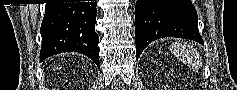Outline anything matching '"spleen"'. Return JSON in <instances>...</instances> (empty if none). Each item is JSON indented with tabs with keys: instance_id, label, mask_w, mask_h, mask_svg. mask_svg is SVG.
<instances>
[{
	"instance_id": "spleen-1",
	"label": "spleen",
	"mask_w": 237,
	"mask_h": 90,
	"mask_svg": "<svg viewBox=\"0 0 237 90\" xmlns=\"http://www.w3.org/2000/svg\"><path fill=\"white\" fill-rule=\"evenodd\" d=\"M172 52L178 56L179 54H183V56H186V58H190V56H197L196 50H194L193 46H188L187 42H184V44H176V46H171Z\"/></svg>"
}]
</instances>
